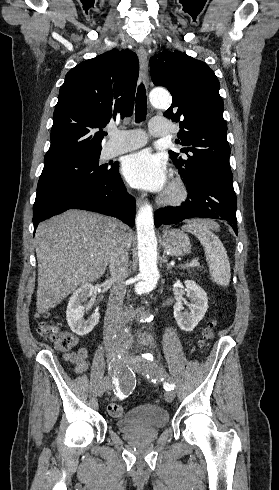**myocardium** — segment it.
I'll return each mask as SVG.
<instances>
[{
    "label": "myocardium",
    "mask_w": 279,
    "mask_h": 490,
    "mask_svg": "<svg viewBox=\"0 0 279 490\" xmlns=\"http://www.w3.org/2000/svg\"><path fill=\"white\" fill-rule=\"evenodd\" d=\"M187 189L178 177H174L168 190L162 198V203L166 206H176L187 198Z\"/></svg>",
    "instance_id": "1"
}]
</instances>
